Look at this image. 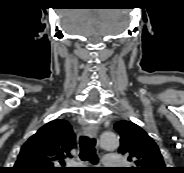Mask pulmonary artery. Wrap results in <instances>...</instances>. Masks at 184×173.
Here are the masks:
<instances>
[{"instance_id":"pulmonary-artery-1","label":"pulmonary artery","mask_w":184,"mask_h":173,"mask_svg":"<svg viewBox=\"0 0 184 173\" xmlns=\"http://www.w3.org/2000/svg\"><path fill=\"white\" fill-rule=\"evenodd\" d=\"M120 164V157L116 154L105 155L103 165L108 168H115Z\"/></svg>"}]
</instances>
